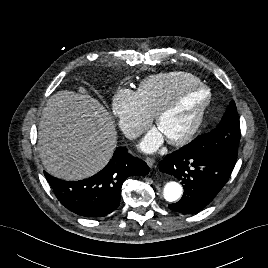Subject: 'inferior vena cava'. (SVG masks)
<instances>
[{
  "mask_svg": "<svg viewBox=\"0 0 268 268\" xmlns=\"http://www.w3.org/2000/svg\"><path fill=\"white\" fill-rule=\"evenodd\" d=\"M138 136V133L134 130H129L126 133V137L129 139H135Z\"/></svg>",
  "mask_w": 268,
  "mask_h": 268,
  "instance_id": "inferior-vena-cava-1",
  "label": "inferior vena cava"
}]
</instances>
